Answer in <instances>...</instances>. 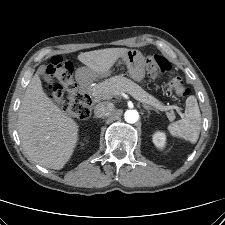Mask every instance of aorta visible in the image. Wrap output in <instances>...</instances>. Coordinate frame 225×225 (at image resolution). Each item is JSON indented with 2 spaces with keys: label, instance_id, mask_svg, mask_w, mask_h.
Masks as SVG:
<instances>
[{
  "label": "aorta",
  "instance_id": "aorta-1",
  "mask_svg": "<svg viewBox=\"0 0 225 225\" xmlns=\"http://www.w3.org/2000/svg\"><path fill=\"white\" fill-rule=\"evenodd\" d=\"M124 119L127 123H136L139 119V113L135 109H129L125 112Z\"/></svg>",
  "mask_w": 225,
  "mask_h": 225
}]
</instances>
